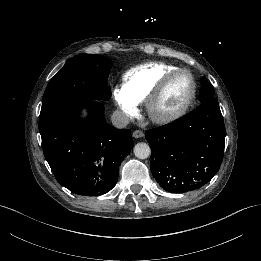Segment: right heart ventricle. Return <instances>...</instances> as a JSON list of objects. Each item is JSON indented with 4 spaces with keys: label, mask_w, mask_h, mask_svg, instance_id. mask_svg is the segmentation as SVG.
Masks as SVG:
<instances>
[{
    "label": "right heart ventricle",
    "mask_w": 261,
    "mask_h": 261,
    "mask_svg": "<svg viewBox=\"0 0 261 261\" xmlns=\"http://www.w3.org/2000/svg\"><path fill=\"white\" fill-rule=\"evenodd\" d=\"M176 67L165 63H146L128 70L123 76V89L136 102L144 103L164 77Z\"/></svg>",
    "instance_id": "right-heart-ventricle-1"
}]
</instances>
